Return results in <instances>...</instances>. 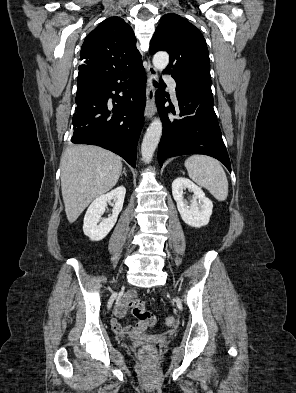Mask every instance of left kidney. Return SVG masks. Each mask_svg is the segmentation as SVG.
Returning a JSON list of instances; mask_svg holds the SVG:
<instances>
[{
  "label": "left kidney",
  "instance_id": "1",
  "mask_svg": "<svg viewBox=\"0 0 296 393\" xmlns=\"http://www.w3.org/2000/svg\"><path fill=\"white\" fill-rule=\"evenodd\" d=\"M186 189L194 193L190 205L184 199V190ZM172 195L177 203L181 218L187 225L200 228L208 224L212 214L213 203L205 196L200 187L189 179L179 177L172 183Z\"/></svg>",
  "mask_w": 296,
  "mask_h": 393
}]
</instances>
